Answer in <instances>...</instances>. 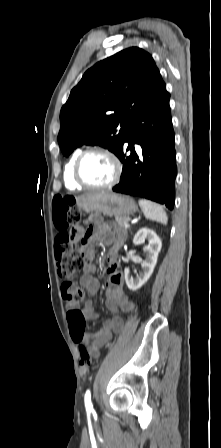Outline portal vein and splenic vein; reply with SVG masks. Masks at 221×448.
<instances>
[{
  "mask_svg": "<svg viewBox=\"0 0 221 448\" xmlns=\"http://www.w3.org/2000/svg\"><path fill=\"white\" fill-rule=\"evenodd\" d=\"M130 227V224L127 222L126 224H125V228H129Z\"/></svg>",
  "mask_w": 221,
  "mask_h": 448,
  "instance_id": "1",
  "label": "portal vein and splenic vein"
}]
</instances>
